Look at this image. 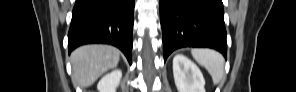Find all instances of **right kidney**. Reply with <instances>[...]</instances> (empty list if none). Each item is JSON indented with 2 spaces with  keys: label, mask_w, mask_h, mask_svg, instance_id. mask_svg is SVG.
Here are the masks:
<instances>
[{
  "label": "right kidney",
  "mask_w": 296,
  "mask_h": 92,
  "mask_svg": "<svg viewBox=\"0 0 296 92\" xmlns=\"http://www.w3.org/2000/svg\"><path fill=\"white\" fill-rule=\"evenodd\" d=\"M122 78V71L120 69H115L111 73L104 75L99 83L97 84V89L99 92H116L119 86L120 80Z\"/></svg>",
  "instance_id": "right-kidney-1"
}]
</instances>
